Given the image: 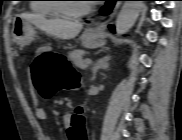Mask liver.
I'll use <instances>...</instances> for the list:
<instances>
[{"label":"liver","instance_id":"1","mask_svg":"<svg viewBox=\"0 0 182 140\" xmlns=\"http://www.w3.org/2000/svg\"><path fill=\"white\" fill-rule=\"evenodd\" d=\"M20 16L27 19L47 34L64 40L75 38L83 27L82 23L78 21L46 19L44 16L36 14H22Z\"/></svg>","mask_w":182,"mask_h":140}]
</instances>
